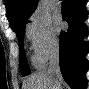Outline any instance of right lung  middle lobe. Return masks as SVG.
<instances>
[{
  "label": "right lung middle lobe",
  "mask_w": 89,
  "mask_h": 89,
  "mask_svg": "<svg viewBox=\"0 0 89 89\" xmlns=\"http://www.w3.org/2000/svg\"><path fill=\"white\" fill-rule=\"evenodd\" d=\"M28 20V19H27ZM27 20L20 22L14 28L16 32L18 42H19V60H20V70L23 76H27L30 74V68L27 63V59L25 56L24 46H23V39H24V30Z\"/></svg>",
  "instance_id": "obj_1"
}]
</instances>
